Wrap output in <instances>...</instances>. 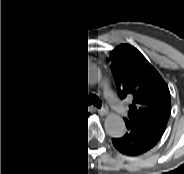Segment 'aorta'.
I'll list each match as a JSON object with an SVG mask.
<instances>
[{
    "label": "aorta",
    "instance_id": "obj_1",
    "mask_svg": "<svg viewBox=\"0 0 184 174\" xmlns=\"http://www.w3.org/2000/svg\"><path fill=\"white\" fill-rule=\"evenodd\" d=\"M89 80L92 84L99 83L101 81L100 71L94 67H90ZM105 126L111 134L118 135L123 131L125 124L120 116L115 113H109L105 118Z\"/></svg>",
    "mask_w": 184,
    "mask_h": 174
}]
</instances>
